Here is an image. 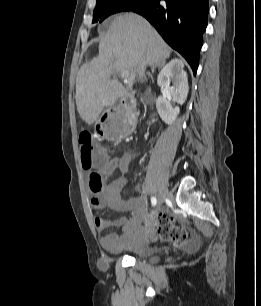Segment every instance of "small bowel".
<instances>
[{
    "label": "small bowel",
    "mask_w": 261,
    "mask_h": 306,
    "mask_svg": "<svg viewBox=\"0 0 261 306\" xmlns=\"http://www.w3.org/2000/svg\"><path fill=\"white\" fill-rule=\"evenodd\" d=\"M130 161V154H124L119 158L112 159L105 157L101 161L102 193L99 197H91L89 201V206L93 210L108 207L117 212L128 214V216L122 215L115 219L94 218V225L98 231H103L111 226L120 228V233L109 232L100 239L101 246L112 253L134 248L141 242L138 238V233L147 199L139 188L136 190L137 196L130 200H123L120 196L127 182L126 173ZM147 234H151V231H148Z\"/></svg>",
    "instance_id": "c3829d8e"
}]
</instances>
